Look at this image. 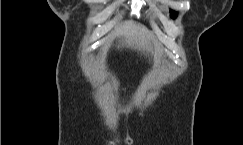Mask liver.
Here are the masks:
<instances>
[{"label":"liver","instance_id":"liver-1","mask_svg":"<svg viewBox=\"0 0 243 145\" xmlns=\"http://www.w3.org/2000/svg\"><path fill=\"white\" fill-rule=\"evenodd\" d=\"M115 37L119 38L122 46L131 47L141 51L151 52L153 54V45L156 46V54L161 51L160 44L155 41L154 36L142 25L132 21L125 22L115 29ZM113 36V37H114Z\"/></svg>","mask_w":243,"mask_h":145}]
</instances>
